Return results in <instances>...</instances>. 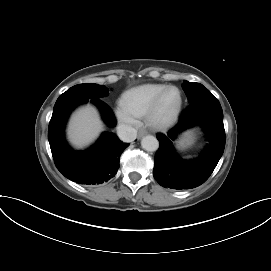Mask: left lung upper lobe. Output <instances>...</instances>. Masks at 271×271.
I'll return each mask as SVG.
<instances>
[{"instance_id": "obj_1", "label": "left lung upper lobe", "mask_w": 271, "mask_h": 271, "mask_svg": "<svg viewBox=\"0 0 271 271\" xmlns=\"http://www.w3.org/2000/svg\"><path fill=\"white\" fill-rule=\"evenodd\" d=\"M182 87L188 97L190 104L200 99L213 96L210 91L200 83H190L188 81H184Z\"/></svg>"}]
</instances>
